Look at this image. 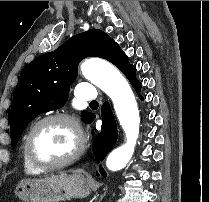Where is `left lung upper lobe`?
Listing matches in <instances>:
<instances>
[{
    "label": "left lung upper lobe",
    "instance_id": "left-lung-upper-lobe-1",
    "mask_svg": "<svg viewBox=\"0 0 209 202\" xmlns=\"http://www.w3.org/2000/svg\"><path fill=\"white\" fill-rule=\"evenodd\" d=\"M92 56L108 60L124 74L133 67L108 34L99 29H89L74 35L56 50L39 56L22 70L9 116L12 148L32 119L66 103L70 85L77 77L78 64ZM81 115L86 123L94 117L88 111H82Z\"/></svg>",
    "mask_w": 209,
    "mask_h": 202
}]
</instances>
